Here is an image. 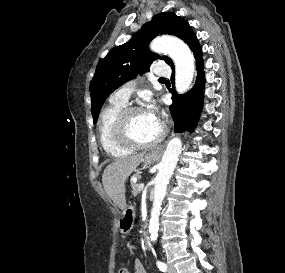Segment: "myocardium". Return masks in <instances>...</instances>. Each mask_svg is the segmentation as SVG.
<instances>
[{"label":"myocardium","mask_w":285,"mask_h":273,"mask_svg":"<svg viewBox=\"0 0 285 273\" xmlns=\"http://www.w3.org/2000/svg\"><path fill=\"white\" fill-rule=\"evenodd\" d=\"M143 109L139 106H125L120 113L118 114L114 127H113V135L115 138V141L122 147L129 149V150H137V149H145L152 147L159 142H161L166 133H167V128L164 122H160V130L159 134L157 135L156 138L149 142H137L131 138V136L128 133V120L129 117L138 111H142Z\"/></svg>","instance_id":"1"}]
</instances>
